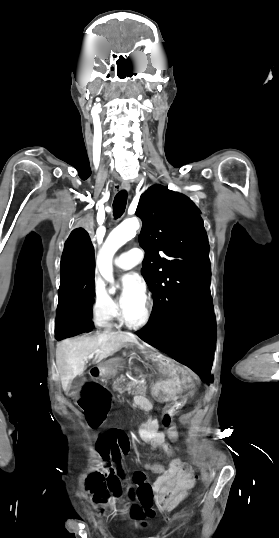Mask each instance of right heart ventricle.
<instances>
[{
  "mask_svg": "<svg viewBox=\"0 0 279 538\" xmlns=\"http://www.w3.org/2000/svg\"><path fill=\"white\" fill-rule=\"evenodd\" d=\"M136 223L135 213L130 209L122 216L120 222L112 232L113 235L120 236L125 234H132L134 225Z\"/></svg>",
  "mask_w": 279,
  "mask_h": 538,
  "instance_id": "obj_1",
  "label": "right heart ventricle"
}]
</instances>
